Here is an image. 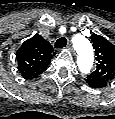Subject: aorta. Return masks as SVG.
I'll return each mask as SVG.
<instances>
[{
	"label": "aorta",
	"mask_w": 115,
	"mask_h": 119,
	"mask_svg": "<svg viewBox=\"0 0 115 119\" xmlns=\"http://www.w3.org/2000/svg\"><path fill=\"white\" fill-rule=\"evenodd\" d=\"M73 46L78 54L77 65L79 70L84 74L89 73L94 61L91 43L85 37L76 35L73 38Z\"/></svg>",
	"instance_id": "1"
}]
</instances>
